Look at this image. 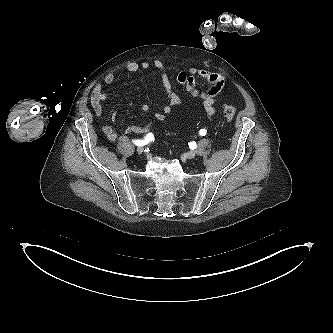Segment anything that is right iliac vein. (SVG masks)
<instances>
[{"mask_svg":"<svg viewBox=\"0 0 333 333\" xmlns=\"http://www.w3.org/2000/svg\"><path fill=\"white\" fill-rule=\"evenodd\" d=\"M143 151H144V148H143V147L140 146V147L137 148V152H138V154H142Z\"/></svg>","mask_w":333,"mask_h":333,"instance_id":"right-iliac-vein-1","label":"right iliac vein"}]
</instances>
